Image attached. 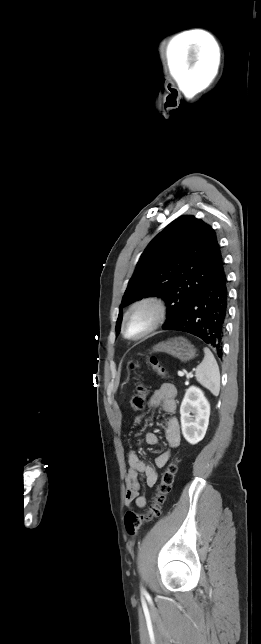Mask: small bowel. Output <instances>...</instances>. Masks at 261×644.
<instances>
[{
    "instance_id": "small-bowel-1",
    "label": "small bowel",
    "mask_w": 261,
    "mask_h": 644,
    "mask_svg": "<svg viewBox=\"0 0 261 644\" xmlns=\"http://www.w3.org/2000/svg\"><path fill=\"white\" fill-rule=\"evenodd\" d=\"M177 389L170 383H164L156 389L148 402L150 408L161 407L162 410L170 415L166 422L165 436L169 449L157 455L155 466L145 463L135 452L128 454V471L126 475V494L125 504L131 506L135 504L138 508H144L147 504L145 494L140 492V480L144 479L149 487L154 486L158 481L156 468H162L168 462L171 456V450L178 448L180 445V425L178 419L174 416L177 409L176 404ZM142 416H138L134 423L138 425ZM145 441L149 445H157L159 438L156 433L148 432L145 435Z\"/></svg>"
}]
</instances>
